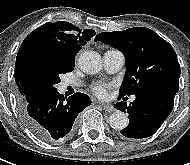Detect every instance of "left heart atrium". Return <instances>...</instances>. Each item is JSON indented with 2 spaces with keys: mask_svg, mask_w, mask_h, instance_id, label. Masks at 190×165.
<instances>
[{
  "mask_svg": "<svg viewBox=\"0 0 190 165\" xmlns=\"http://www.w3.org/2000/svg\"><path fill=\"white\" fill-rule=\"evenodd\" d=\"M110 88V84L104 82H97L93 84L92 91L99 98H106L108 94V90Z\"/></svg>",
  "mask_w": 190,
  "mask_h": 165,
  "instance_id": "obj_1",
  "label": "left heart atrium"
}]
</instances>
